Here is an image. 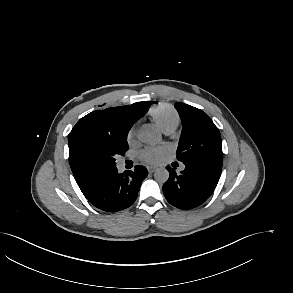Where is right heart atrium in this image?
Listing matches in <instances>:
<instances>
[{"label":"right heart atrium","mask_w":293,"mask_h":293,"mask_svg":"<svg viewBox=\"0 0 293 293\" xmlns=\"http://www.w3.org/2000/svg\"><path fill=\"white\" fill-rule=\"evenodd\" d=\"M135 136H136V127L132 126L127 133V141L131 143L135 139Z\"/></svg>","instance_id":"1"}]
</instances>
